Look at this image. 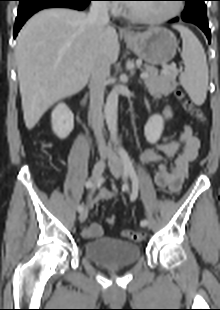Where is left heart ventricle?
Here are the masks:
<instances>
[{
  "label": "left heart ventricle",
  "mask_w": 220,
  "mask_h": 310,
  "mask_svg": "<svg viewBox=\"0 0 220 310\" xmlns=\"http://www.w3.org/2000/svg\"><path fill=\"white\" fill-rule=\"evenodd\" d=\"M172 7L169 4H131L128 9L142 16L157 18L170 13Z\"/></svg>",
  "instance_id": "1"
}]
</instances>
